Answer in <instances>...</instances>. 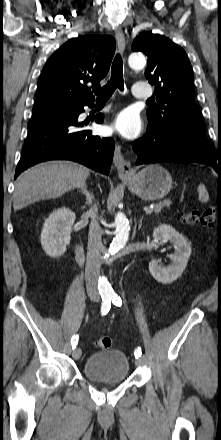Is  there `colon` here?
I'll use <instances>...</instances> for the list:
<instances>
[{"mask_svg": "<svg viewBox=\"0 0 221 440\" xmlns=\"http://www.w3.org/2000/svg\"><path fill=\"white\" fill-rule=\"evenodd\" d=\"M215 212L212 209L203 211H189L182 215V223L188 226H204L211 227L215 223ZM112 345V340L109 337L98 338L94 342L95 348L99 350L109 349Z\"/></svg>", "mask_w": 221, "mask_h": 440, "instance_id": "1", "label": "colon"}]
</instances>
